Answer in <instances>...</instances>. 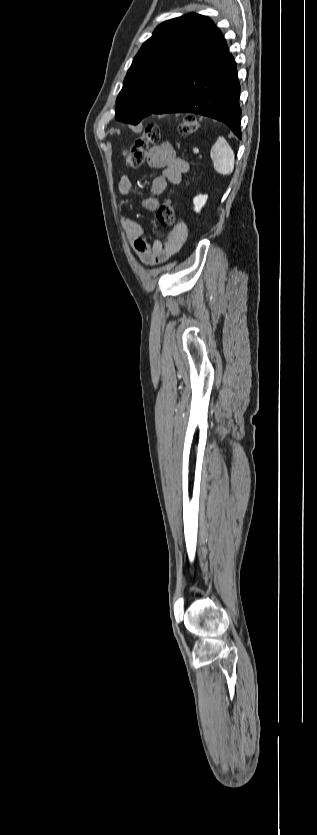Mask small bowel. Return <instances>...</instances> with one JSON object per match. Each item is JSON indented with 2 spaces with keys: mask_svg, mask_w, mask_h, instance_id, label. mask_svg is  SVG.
Segmentation results:
<instances>
[{
  "mask_svg": "<svg viewBox=\"0 0 317 835\" xmlns=\"http://www.w3.org/2000/svg\"><path fill=\"white\" fill-rule=\"evenodd\" d=\"M146 160L150 167L161 169V174L156 176L150 184L151 196L142 201L146 210L155 211L160 202L159 196L164 193L168 184L181 182L183 174L189 170V164L177 155L170 143L166 142L151 147ZM118 190L124 196L133 195V181L127 176H122L118 183ZM121 223L139 261L150 267L165 262L179 252L188 235L186 224L179 222L172 229L165 243L149 242L144 236V229L140 223L130 218H123Z\"/></svg>",
  "mask_w": 317,
  "mask_h": 835,
  "instance_id": "obj_1",
  "label": "small bowel"
}]
</instances>
